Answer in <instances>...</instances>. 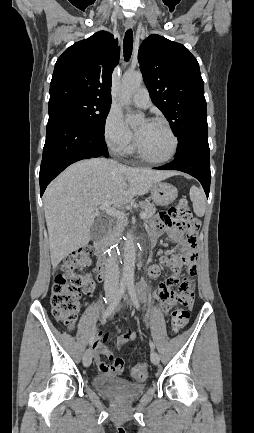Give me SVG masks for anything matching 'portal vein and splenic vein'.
Segmentation results:
<instances>
[{
    "label": "portal vein and splenic vein",
    "instance_id": "1",
    "mask_svg": "<svg viewBox=\"0 0 254 433\" xmlns=\"http://www.w3.org/2000/svg\"><path fill=\"white\" fill-rule=\"evenodd\" d=\"M111 202H106L104 204H101L99 207L100 210L106 212L110 216H114L118 219L124 220L127 217V214H125L122 211L117 210L116 208L111 207ZM140 218L144 219L146 218V214L143 212L140 214Z\"/></svg>",
    "mask_w": 254,
    "mask_h": 433
}]
</instances>
